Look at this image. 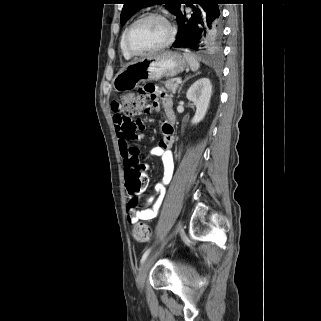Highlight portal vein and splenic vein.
<instances>
[{"label":"portal vein and splenic vein","instance_id":"1","mask_svg":"<svg viewBox=\"0 0 321 321\" xmlns=\"http://www.w3.org/2000/svg\"><path fill=\"white\" fill-rule=\"evenodd\" d=\"M176 83H177V84H181V83H182V80H181V79H178V80L176 81Z\"/></svg>","mask_w":321,"mask_h":321}]
</instances>
